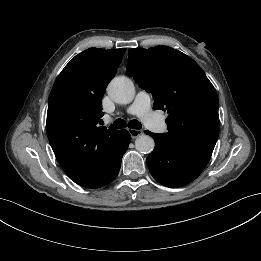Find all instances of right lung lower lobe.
<instances>
[{
    "label": "right lung lower lobe",
    "mask_w": 261,
    "mask_h": 261,
    "mask_svg": "<svg viewBox=\"0 0 261 261\" xmlns=\"http://www.w3.org/2000/svg\"><path fill=\"white\" fill-rule=\"evenodd\" d=\"M130 142V134L126 130H122L117 144L114 146L108 160L102 168L92 177L78 183L86 188H99L112 182L117 176L123 154L126 152Z\"/></svg>",
    "instance_id": "right-lung-lower-lobe-1"
}]
</instances>
